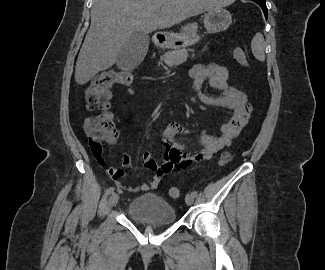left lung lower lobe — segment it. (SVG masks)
I'll use <instances>...</instances> for the list:
<instances>
[{
  "mask_svg": "<svg viewBox=\"0 0 325 270\" xmlns=\"http://www.w3.org/2000/svg\"><path fill=\"white\" fill-rule=\"evenodd\" d=\"M252 1L257 3L263 9L265 17L267 18V7H266V4H265V0H252Z\"/></svg>",
  "mask_w": 325,
  "mask_h": 270,
  "instance_id": "0a47b994",
  "label": "left lung lower lobe"
}]
</instances>
